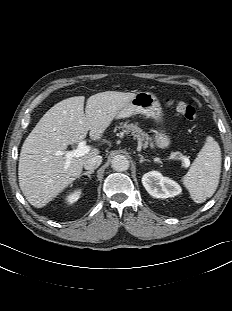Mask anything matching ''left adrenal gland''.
Instances as JSON below:
<instances>
[{
    "label": "left adrenal gland",
    "instance_id": "left-adrenal-gland-1",
    "mask_svg": "<svg viewBox=\"0 0 232 311\" xmlns=\"http://www.w3.org/2000/svg\"><path fill=\"white\" fill-rule=\"evenodd\" d=\"M138 156L140 157V163H143L144 161H149L147 159H145L141 154H138Z\"/></svg>",
    "mask_w": 232,
    "mask_h": 311
}]
</instances>
